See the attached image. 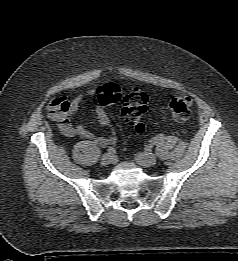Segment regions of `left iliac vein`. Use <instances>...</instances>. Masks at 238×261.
I'll use <instances>...</instances> for the list:
<instances>
[{"label":"left iliac vein","instance_id":"left-iliac-vein-1","mask_svg":"<svg viewBox=\"0 0 238 261\" xmlns=\"http://www.w3.org/2000/svg\"><path fill=\"white\" fill-rule=\"evenodd\" d=\"M135 159L137 163L143 167H150L156 164V156L153 153H137L135 155Z\"/></svg>","mask_w":238,"mask_h":261}]
</instances>
